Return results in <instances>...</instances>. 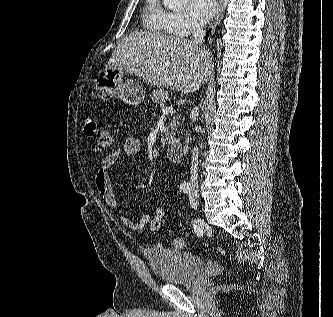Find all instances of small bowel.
Masks as SVG:
<instances>
[{
	"mask_svg": "<svg viewBox=\"0 0 333 317\" xmlns=\"http://www.w3.org/2000/svg\"><path fill=\"white\" fill-rule=\"evenodd\" d=\"M141 141L135 136H129L125 139L124 143L118 149L110 152L100 163L95 176V185L98 193L102 197L107 207L111 210L114 219L123 227L130 231H141L151 221L150 214H144L139 219H133L126 216L120 209L118 201L116 199L113 186L111 183L110 174L118 162L123 156L136 155L141 151Z\"/></svg>",
	"mask_w": 333,
	"mask_h": 317,
	"instance_id": "c3829d8e",
	"label": "small bowel"
}]
</instances>
